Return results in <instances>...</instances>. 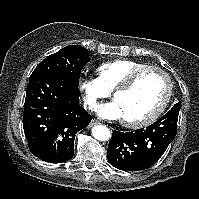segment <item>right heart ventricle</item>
<instances>
[{
	"label": "right heart ventricle",
	"instance_id": "e07e8e85",
	"mask_svg": "<svg viewBox=\"0 0 199 199\" xmlns=\"http://www.w3.org/2000/svg\"><path fill=\"white\" fill-rule=\"evenodd\" d=\"M149 66L146 63L129 59H116L101 64L98 69V79L107 91L122 84L134 71Z\"/></svg>",
	"mask_w": 199,
	"mask_h": 199
}]
</instances>
